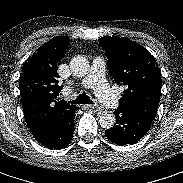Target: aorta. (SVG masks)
I'll return each instance as SVG.
<instances>
[{"label":"aorta","mask_w":183,"mask_h":183,"mask_svg":"<svg viewBox=\"0 0 183 183\" xmlns=\"http://www.w3.org/2000/svg\"><path fill=\"white\" fill-rule=\"evenodd\" d=\"M71 72L77 77H84L88 74L90 65L84 56H76L70 62ZM99 124L104 129H110L115 124V116L112 113H103L99 117Z\"/></svg>","instance_id":"762f6f07"}]
</instances>
